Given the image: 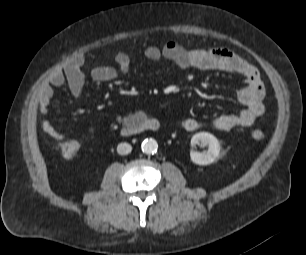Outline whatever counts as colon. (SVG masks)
Instances as JSON below:
<instances>
[{"label": "colon", "instance_id": "5ec220e1", "mask_svg": "<svg viewBox=\"0 0 306 255\" xmlns=\"http://www.w3.org/2000/svg\"><path fill=\"white\" fill-rule=\"evenodd\" d=\"M251 136L254 140H262L265 136L262 129L256 128L251 132ZM59 150L65 158L74 157L79 150V143L76 140H65L59 143Z\"/></svg>", "mask_w": 306, "mask_h": 255}]
</instances>
